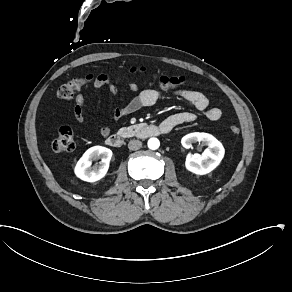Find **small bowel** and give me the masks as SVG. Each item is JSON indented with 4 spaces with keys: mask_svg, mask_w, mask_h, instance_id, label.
<instances>
[{
    "mask_svg": "<svg viewBox=\"0 0 292 292\" xmlns=\"http://www.w3.org/2000/svg\"><path fill=\"white\" fill-rule=\"evenodd\" d=\"M94 88L101 89L108 87L112 94L116 93L114 85L111 83L108 75L98 74L93 83ZM133 97L123 106L116 107L114 114L116 118H121L133 114L141 109L154 106L161 98V92L153 89L139 90L135 83L129 85ZM178 96L192 104L198 111L203 112L210 121H218L222 117V111L218 107L210 106L209 99L201 92L194 90H179ZM74 116L77 122L87 123L86 100L83 94H77L74 98ZM196 119L193 112H178L166 117L161 125L167 124L175 128L184 123L192 122ZM99 130L102 137L106 138L110 134L109 126L100 122Z\"/></svg>",
    "mask_w": 292,
    "mask_h": 292,
    "instance_id": "1",
    "label": "small bowel"
}]
</instances>
